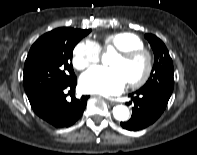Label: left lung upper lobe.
<instances>
[{
  "label": "left lung upper lobe",
  "mask_w": 197,
  "mask_h": 155,
  "mask_svg": "<svg viewBox=\"0 0 197 155\" xmlns=\"http://www.w3.org/2000/svg\"><path fill=\"white\" fill-rule=\"evenodd\" d=\"M154 52V66L150 78L141 91H157L171 96L174 87V68L169 52L164 43L155 35L146 34Z\"/></svg>",
  "instance_id": "1"
}]
</instances>
